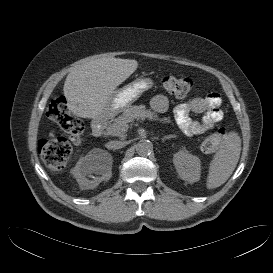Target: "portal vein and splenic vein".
Listing matches in <instances>:
<instances>
[{
  "label": "portal vein and splenic vein",
  "instance_id": "obj_1",
  "mask_svg": "<svg viewBox=\"0 0 273 273\" xmlns=\"http://www.w3.org/2000/svg\"><path fill=\"white\" fill-rule=\"evenodd\" d=\"M108 130H109L110 133H116V134H121L122 133L123 134L128 130V127L127 126H122L117 130H114L113 128H108Z\"/></svg>",
  "mask_w": 273,
  "mask_h": 273
}]
</instances>
